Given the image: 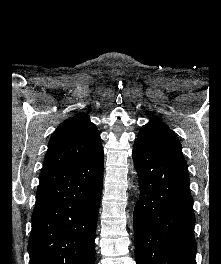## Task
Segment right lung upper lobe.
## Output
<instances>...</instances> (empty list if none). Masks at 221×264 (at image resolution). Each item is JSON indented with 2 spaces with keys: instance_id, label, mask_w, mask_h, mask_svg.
<instances>
[{
  "instance_id": "right-lung-upper-lobe-1",
  "label": "right lung upper lobe",
  "mask_w": 221,
  "mask_h": 264,
  "mask_svg": "<svg viewBox=\"0 0 221 264\" xmlns=\"http://www.w3.org/2000/svg\"><path fill=\"white\" fill-rule=\"evenodd\" d=\"M102 153L97 127L80 113L61 123L51 136L43 170L86 162Z\"/></svg>"
}]
</instances>
